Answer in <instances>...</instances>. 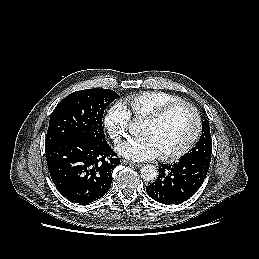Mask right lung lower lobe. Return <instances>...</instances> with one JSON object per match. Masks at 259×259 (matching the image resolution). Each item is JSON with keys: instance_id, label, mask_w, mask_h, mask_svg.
<instances>
[{"instance_id": "1", "label": "right lung lower lobe", "mask_w": 259, "mask_h": 259, "mask_svg": "<svg viewBox=\"0 0 259 259\" xmlns=\"http://www.w3.org/2000/svg\"><path fill=\"white\" fill-rule=\"evenodd\" d=\"M52 181L67 199L88 204L110 189L113 169L120 164L107 141L66 138L46 147Z\"/></svg>"}]
</instances>
